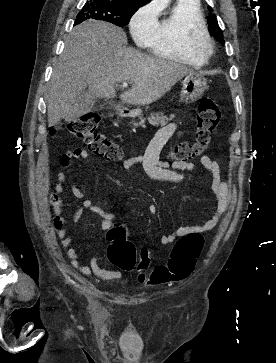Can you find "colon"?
I'll return each instance as SVG.
<instances>
[{"label": "colon", "mask_w": 276, "mask_h": 363, "mask_svg": "<svg viewBox=\"0 0 276 363\" xmlns=\"http://www.w3.org/2000/svg\"><path fill=\"white\" fill-rule=\"evenodd\" d=\"M100 120L99 113L88 112L66 122L64 128L81 138L91 152L108 159L121 158V149L97 132ZM219 120L220 111L216 102L210 98L203 99L199 103L196 114V139L193 143L180 142L174 146L171 155L175 161L187 163L201 155L210 144ZM52 203L56 210H59L60 202L57 196L52 197ZM54 224L57 229H60L63 224L62 218L57 216ZM123 234L124 229L120 226L109 229L107 236L110 245L107 249V257L112 264L124 271L133 269L139 271L138 280L146 285L177 282L188 278L195 268L204 245V239L199 233H190L181 237L173 246L167 264L157 266L150 275H146L144 271L151 263V251L143 247L137 255L135 244L126 239Z\"/></svg>", "instance_id": "5ec220e1"}]
</instances>
